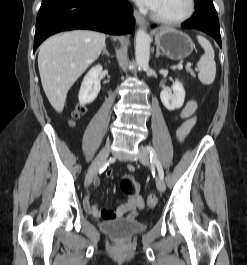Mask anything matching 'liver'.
Listing matches in <instances>:
<instances>
[{
    "label": "liver",
    "instance_id": "obj_1",
    "mask_svg": "<svg viewBox=\"0 0 247 265\" xmlns=\"http://www.w3.org/2000/svg\"><path fill=\"white\" fill-rule=\"evenodd\" d=\"M105 40L103 33L75 30L54 35L42 43L38 54L41 83L57 112L63 111L69 89L99 57Z\"/></svg>",
    "mask_w": 247,
    "mask_h": 265
}]
</instances>
